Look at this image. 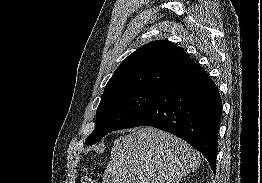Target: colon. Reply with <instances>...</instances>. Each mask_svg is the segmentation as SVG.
<instances>
[{
    "instance_id": "colon-1",
    "label": "colon",
    "mask_w": 262,
    "mask_h": 183,
    "mask_svg": "<svg viewBox=\"0 0 262 183\" xmlns=\"http://www.w3.org/2000/svg\"><path fill=\"white\" fill-rule=\"evenodd\" d=\"M81 183H98V182L92 179L91 177H84L82 178Z\"/></svg>"
}]
</instances>
